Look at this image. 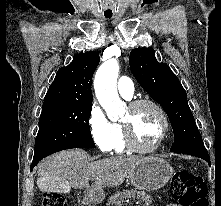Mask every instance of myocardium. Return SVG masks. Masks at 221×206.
<instances>
[{"instance_id": "obj_1", "label": "myocardium", "mask_w": 221, "mask_h": 206, "mask_svg": "<svg viewBox=\"0 0 221 206\" xmlns=\"http://www.w3.org/2000/svg\"><path fill=\"white\" fill-rule=\"evenodd\" d=\"M144 105H149L153 107L157 111V113L159 114L162 120V124H163L162 132H161L159 139L154 145H152L151 147H141L137 143L134 137L131 126L125 122H122L121 126L124 132L125 142H126L128 149L136 153L148 154V153H152L158 150L161 147V145L164 143L169 133V120L162 106L156 101L149 99V98L138 99V100L131 102L129 105V109L131 111H134Z\"/></svg>"}]
</instances>
